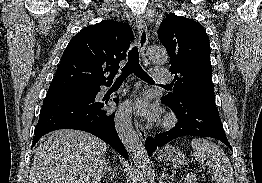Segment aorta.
Segmentation results:
<instances>
[{"label": "aorta", "mask_w": 262, "mask_h": 183, "mask_svg": "<svg viewBox=\"0 0 262 183\" xmlns=\"http://www.w3.org/2000/svg\"><path fill=\"white\" fill-rule=\"evenodd\" d=\"M147 54L148 58L156 64H164L168 60L166 50L158 46H150ZM115 126L122 143L134 161L138 182L148 183L151 165L145 147L132 125L131 101L127 100L120 104L115 116Z\"/></svg>", "instance_id": "762f6f07"}]
</instances>
